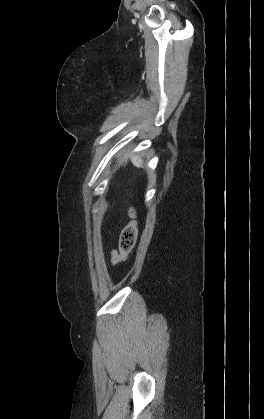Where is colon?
I'll return each instance as SVG.
<instances>
[{
    "instance_id": "5ec220e1",
    "label": "colon",
    "mask_w": 264,
    "mask_h": 419,
    "mask_svg": "<svg viewBox=\"0 0 264 419\" xmlns=\"http://www.w3.org/2000/svg\"><path fill=\"white\" fill-rule=\"evenodd\" d=\"M130 222L122 229L120 238H119V251L121 254V259L125 260L128 255L134 249L137 242V221H136V212L134 209L129 211Z\"/></svg>"
}]
</instances>
